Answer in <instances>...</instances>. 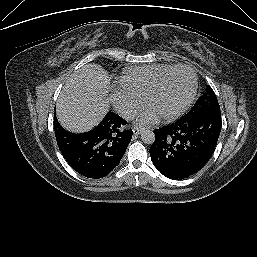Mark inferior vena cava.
Wrapping results in <instances>:
<instances>
[{
    "instance_id": "obj_1",
    "label": "inferior vena cava",
    "mask_w": 257,
    "mask_h": 257,
    "mask_svg": "<svg viewBox=\"0 0 257 257\" xmlns=\"http://www.w3.org/2000/svg\"><path fill=\"white\" fill-rule=\"evenodd\" d=\"M137 114V110L134 108H125L121 111V115L126 119H133Z\"/></svg>"
}]
</instances>
